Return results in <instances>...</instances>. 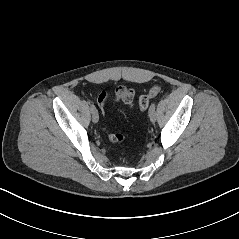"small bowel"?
I'll use <instances>...</instances> for the list:
<instances>
[{"mask_svg":"<svg viewBox=\"0 0 239 239\" xmlns=\"http://www.w3.org/2000/svg\"><path fill=\"white\" fill-rule=\"evenodd\" d=\"M115 100L123 103L128 109H133L135 106V93L129 87L119 86L115 90Z\"/></svg>","mask_w":239,"mask_h":239,"instance_id":"c3829d8e","label":"small bowel"}]
</instances>
